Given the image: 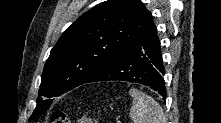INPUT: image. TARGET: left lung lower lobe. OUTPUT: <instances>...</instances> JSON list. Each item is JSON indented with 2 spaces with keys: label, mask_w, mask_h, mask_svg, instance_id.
Returning a JSON list of instances; mask_svg holds the SVG:
<instances>
[{
  "label": "left lung lower lobe",
  "mask_w": 221,
  "mask_h": 123,
  "mask_svg": "<svg viewBox=\"0 0 221 123\" xmlns=\"http://www.w3.org/2000/svg\"><path fill=\"white\" fill-rule=\"evenodd\" d=\"M165 69L154 23L118 56L93 74L85 83L122 80L149 86L165 97Z\"/></svg>",
  "instance_id": "0a47b994"
}]
</instances>
